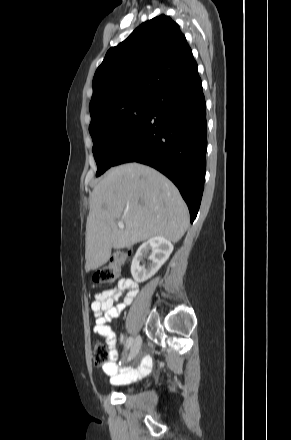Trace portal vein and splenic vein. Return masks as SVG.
Instances as JSON below:
<instances>
[{
	"label": "portal vein and splenic vein",
	"mask_w": 291,
	"mask_h": 440,
	"mask_svg": "<svg viewBox=\"0 0 291 440\" xmlns=\"http://www.w3.org/2000/svg\"><path fill=\"white\" fill-rule=\"evenodd\" d=\"M118 227L121 228V229H123V228L125 227V223L122 222V221H119V222H118Z\"/></svg>",
	"instance_id": "obj_1"
}]
</instances>
